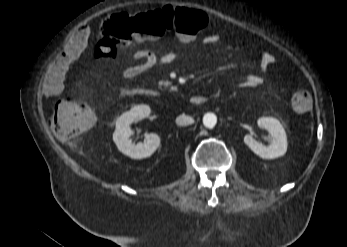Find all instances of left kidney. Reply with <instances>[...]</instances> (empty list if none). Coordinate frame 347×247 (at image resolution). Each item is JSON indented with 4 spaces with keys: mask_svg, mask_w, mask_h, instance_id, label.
I'll return each instance as SVG.
<instances>
[{
    "mask_svg": "<svg viewBox=\"0 0 347 247\" xmlns=\"http://www.w3.org/2000/svg\"><path fill=\"white\" fill-rule=\"evenodd\" d=\"M259 127L267 130L273 140L269 146L257 142L251 135L244 136V143L263 159H274L283 156L287 151V135L281 123L273 117H261L258 119Z\"/></svg>",
    "mask_w": 347,
    "mask_h": 247,
    "instance_id": "obj_1",
    "label": "left kidney"
}]
</instances>
